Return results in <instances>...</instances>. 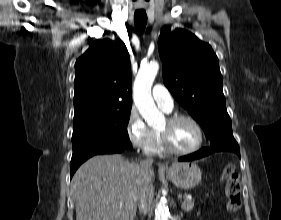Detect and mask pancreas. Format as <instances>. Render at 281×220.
Instances as JSON below:
<instances>
[{
    "mask_svg": "<svg viewBox=\"0 0 281 220\" xmlns=\"http://www.w3.org/2000/svg\"><path fill=\"white\" fill-rule=\"evenodd\" d=\"M193 206H194V200L187 197V195H185L182 202V209L185 211H190L193 209Z\"/></svg>",
    "mask_w": 281,
    "mask_h": 220,
    "instance_id": "pancreas-1",
    "label": "pancreas"
}]
</instances>
